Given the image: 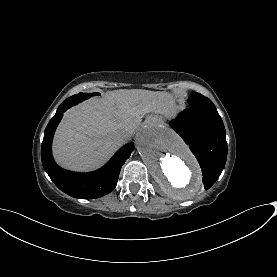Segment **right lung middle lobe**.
Here are the masks:
<instances>
[{
  "label": "right lung middle lobe",
  "mask_w": 277,
  "mask_h": 277,
  "mask_svg": "<svg viewBox=\"0 0 277 277\" xmlns=\"http://www.w3.org/2000/svg\"><path fill=\"white\" fill-rule=\"evenodd\" d=\"M92 95H100L99 93H93V94H89V93H78L76 95H73L71 97H69L68 99H66L64 101V103H68L71 104V106L76 105L80 102H82L85 99L90 98Z\"/></svg>",
  "instance_id": "right-lung-middle-lobe-1"
}]
</instances>
